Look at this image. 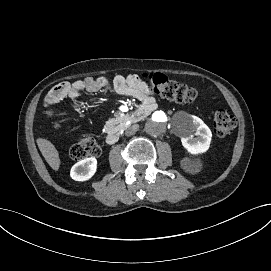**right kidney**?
<instances>
[{
  "label": "right kidney",
  "instance_id": "ca27d5eb",
  "mask_svg": "<svg viewBox=\"0 0 271 271\" xmlns=\"http://www.w3.org/2000/svg\"><path fill=\"white\" fill-rule=\"evenodd\" d=\"M95 170L96 160L94 158H86L71 167L70 176L75 180L84 181L91 178Z\"/></svg>",
  "mask_w": 271,
  "mask_h": 271
}]
</instances>
